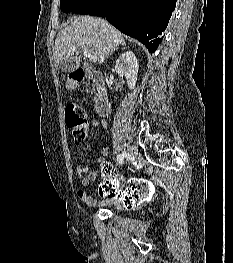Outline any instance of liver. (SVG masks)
<instances>
[{
    "mask_svg": "<svg viewBox=\"0 0 233 263\" xmlns=\"http://www.w3.org/2000/svg\"><path fill=\"white\" fill-rule=\"evenodd\" d=\"M123 42L122 33L106 20L81 16L58 33L55 40L54 57L58 66L61 60L71 59L72 70L78 69L81 62L79 50L85 45L89 53L96 56L97 61L102 64L110 51ZM72 47L76 48L75 56V52L70 51Z\"/></svg>",
    "mask_w": 233,
    "mask_h": 263,
    "instance_id": "obj_1",
    "label": "liver"
}]
</instances>
